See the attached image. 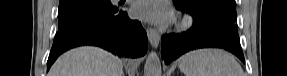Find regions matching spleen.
I'll use <instances>...</instances> for the list:
<instances>
[{
	"label": "spleen",
	"instance_id": "spleen-1",
	"mask_svg": "<svg viewBox=\"0 0 287 76\" xmlns=\"http://www.w3.org/2000/svg\"><path fill=\"white\" fill-rule=\"evenodd\" d=\"M179 68L185 76H244L240 64L221 49H199L180 58Z\"/></svg>",
	"mask_w": 287,
	"mask_h": 76
}]
</instances>
